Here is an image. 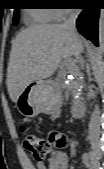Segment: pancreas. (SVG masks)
<instances>
[{
	"label": "pancreas",
	"mask_w": 104,
	"mask_h": 169,
	"mask_svg": "<svg viewBox=\"0 0 104 169\" xmlns=\"http://www.w3.org/2000/svg\"><path fill=\"white\" fill-rule=\"evenodd\" d=\"M69 72V69L66 67V68H64L63 70H62V75L64 76L66 73H68ZM81 74V72H80V70H79V68H78V71L76 72V75L75 76H77V75H80ZM75 83H73V85H74ZM73 94L75 95V94H79V95H81V93H78L76 90H74L73 91ZM82 99V97L81 96H79L78 98H74V100H73V102L74 103H77V102H79L80 100Z\"/></svg>",
	"instance_id": "1"
}]
</instances>
